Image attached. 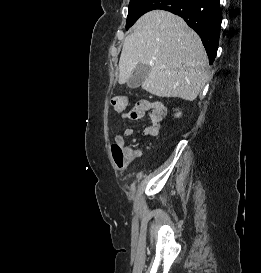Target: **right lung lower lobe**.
I'll list each match as a JSON object with an SVG mask.
<instances>
[{
	"mask_svg": "<svg viewBox=\"0 0 261 273\" xmlns=\"http://www.w3.org/2000/svg\"><path fill=\"white\" fill-rule=\"evenodd\" d=\"M159 6L182 17L200 36L212 64L218 49L222 21L219 0H164Z\"/></svg>",
	"mask_w": 261,
	"mask_h": 273,
	"instance_id": "1",
	"label": "right lung lower lobe"
}]
</instances>
